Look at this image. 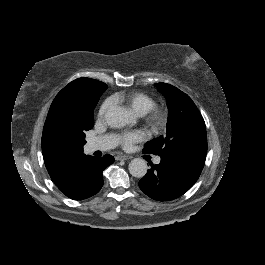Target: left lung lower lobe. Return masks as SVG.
Wrapping results in <instances>:
<instances>
[{"instance_id":"0a47b994","label":"left lung lower lobe","mask_w":265,"mask_h":265,"mask_svg":"<svg viewBox=\"0 0 265 265\" xmlns=\"http://www.w3.org/2000/svg\"><path fill=\"white\" fill-rule=\"evenodd\" d=\"M206 155L182 154L161 156L139 181L140 189L157 201L173 200L186 193L197 181Z\"/></svg>"}]
</instances>
